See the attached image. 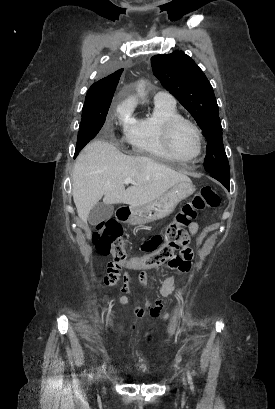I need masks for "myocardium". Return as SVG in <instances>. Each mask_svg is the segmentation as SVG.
Returning <instances> with one entry per match:
<instances>
[{
	"label": "myocardium",
	"mask_w": 275,
	"mask_h": 409,
	"mask_svg": "<svg viewBox=\"0 0 275 409\" xmlns=\"http://www.w3.org/2000/svg\"><path fill=\"white\" fill-rule=\"evenodd\" d=\"M181 125H187L191 128L195 135L196 143H197V150L196 153L192 157H199L202 151V138L199 128L190 120L179 117L174 118L168 121L164 127V144L168 154L171 157H178L173 149V137L174 133L178 127Z\"/></svg>",
	"instance_id": "f54148a6"
}]
</instances>
